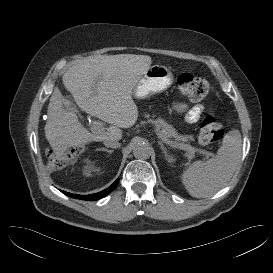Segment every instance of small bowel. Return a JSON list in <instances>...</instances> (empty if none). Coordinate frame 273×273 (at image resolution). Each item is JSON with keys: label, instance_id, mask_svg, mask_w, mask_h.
<instances>
[{"label": "small bowel", "instance_id": "small-bowel-1", "mask_svg": "<svg viewBox=\"0 0 273 273\" xmlns=\"http://www.w3.org/2000/svg\"><path fill=\"white\" fill-rule=\"evenodd\" d=\"M176 108L178 110H185L186 109V105H184V104H177ZM203 111H204V107L202 105L194 106V107H192V108H190V109L187 110V112H186V118H187L188 121L194 122V121L198 120V118L203 113Z\"/></svg>", "mask_w": 273, "mask_h": 273}]
</instances>
